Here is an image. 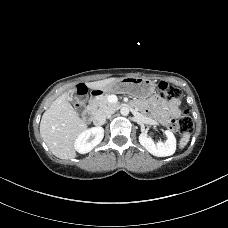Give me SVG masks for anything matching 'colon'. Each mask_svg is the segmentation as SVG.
I'll return each instance as SVG.
<instances>
[{
  "label": "colon",
  "instance_id": "5ec220e1",
  "mask_svg": "<svg viewBox=\"0 0 228 228\" xmlns=\"http://www.w3.org/2000/svg\"><path fill=\"white\" fill-rule=\"evenodd\" d=\"M159 97L163 100H177L183 97L180 89L168 82H160ZM88 99L87 88L85 85L80 84L76 88L75 103L77 106L82 107L86 104ZM171 129H178L181 134H189L193 129V121L189 115V111L184 109L178 120H172L169 123Z\"/></svg>",
  "mask_w": 228,
  "mask_h": 228
}]
</instances>
